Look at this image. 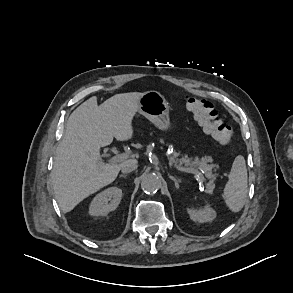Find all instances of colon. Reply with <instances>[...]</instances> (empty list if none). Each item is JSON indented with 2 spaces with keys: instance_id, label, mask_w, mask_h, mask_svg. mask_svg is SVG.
Segmentation results:
<instances>
[{
  "instance_id": "1",
  "label": "colon",
  "mask_w": 293,
  "mask_h": 293,
  "mask_svg": "<svg viewBox=\"0 0 293 293\" xmlns=\"http://www.w3.org/2000/svg\"><path fill=\"white\" fill-rule=\"evenodd\" d=\"M185 105L203 130L217 142L227 144L231 141L232 127L222 121L211 102L203 98L187 96Z\"/></svg>"
}]
</instances>
